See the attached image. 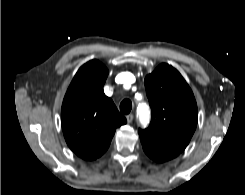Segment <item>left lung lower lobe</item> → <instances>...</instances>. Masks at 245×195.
Returning <instances> with one entry per match:
<instances>
[{"instance_id":"0a47b994","label":"left lung lower lobe","mask_w":245,"mask_h":195,"mask_svg":"<svg viewBox=\"0 0 245 195\" xmlns=\"http://www.w3.org/2000/svg\"><path fill=\"white\" fill-rule=\"evenodd\" d=\"M143 150L145 153L153 160L157 162H165L168 160H171L175 157H177L180 153L169 151V150H163L161 148H158L157 146L146 142L144 140H141Z\"/></svg>"}]
</instances>
